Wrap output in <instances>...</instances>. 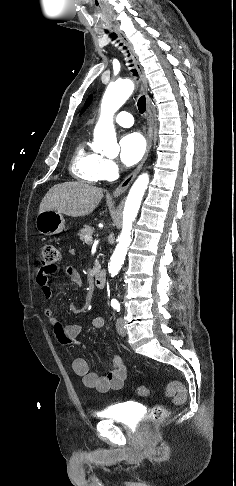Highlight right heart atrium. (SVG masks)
I'll use <instances>...</instances> for the list:
<instances>
[{
	"instance_id": "d8ad5b80",
	"label": "right heart atrium",
	"mask_w": 236,
	"mask_h": 486,
	"mask_svg": "<svg viewBox=\"0 0 236 486\" xmlns=\"http://www.w3.org/2000/svg\"><path fill=\"white\" fill-rule=\"evenodd\" d=\"M99 171L102 180H110L116 176L118 165L112 159L102 158Z\"/></svg>"
}]
</instances>
